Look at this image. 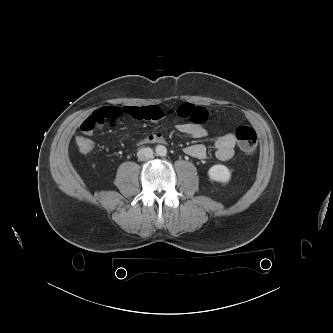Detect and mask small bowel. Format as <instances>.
Masks as SVG:
<instances>
[{"mask_svg":"<svg viewBox=\"0 0 333 333\" xmlns=\"http://www.w3.org/2000/svg\"><path fill=\"white\" fill-rule=\"evenodd\" d=\"M178 115L183 119L177 129L194 139H202L207 136L204 122L208 118V111L204 107L196 106L185 102L177 110ZM127 115L136 119H145L153 122H160L164 119L163 110L157 106L135 107L126 106L122 108L110 106L103 107L90 114L80 125V129L87 135L101 128L106 122L114 123L122 116ZM165 138L160 131H155L141 141L142 144L164 143ZM236 136L234 133H225L214 139L215 155L221 161L231 159L235 153ZM184 152L196 159H203L207 155V148L204 144L195 143L184 148Z\"/></svg>","mask_w":333,"mask_h":333,"instance_id":"small-bowel-1","label":"small bowel"}]
</instances>
